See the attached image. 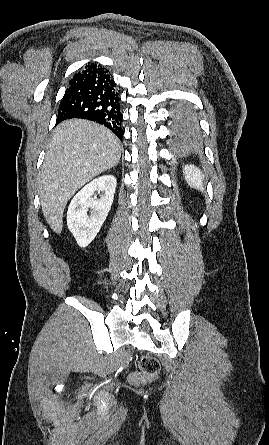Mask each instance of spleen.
Listing matches in <instances>:
<instances>
[{
	"instance_id": "3e777b00",
	"label": "spleen",
	"mask_w": 269,
	"mask_h": 445,
	"mask_svg": "<svg viewBox=\"0 0 269 445\" xmlns=\"http://www.w3.org/2000/svg\"><path fill=\"white\" fill-rule=\"evenodd\" d=\"M184 174H185V179L190 187L195 188L197 190L204 189V184H203L204 175L197 167H195L194 165L185 166Z\"/></svg>"
}]
</instances>
